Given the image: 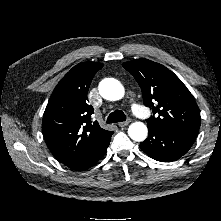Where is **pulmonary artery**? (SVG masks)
I'll list each match as a JSON object with an SVG mask.
<instances>
[{
  "label": "pulmonary artery",
  "instance_id": "obj_1",
  "mask_svg": "<svg viewBox=\"0 0 221 221\" xmlns=\"http://www.w3.org/2000/svg\"><path fill=\"white\" fill-rule=\"evenodd\" d=\"M132 110H133V112H134L136 115L143 117V115H144V114H143V110H142V108H141L139 105L133 104V105H132Z\"/></svg>",
  "mask_w": 221,
  "mask_h": 221
}]
</instances>
